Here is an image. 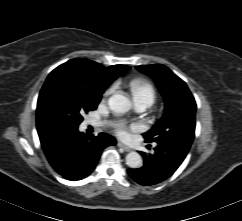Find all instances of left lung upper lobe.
Returning a JSON list of instances; mask_svg holds the SVG:
<instances>
[{"label":"left lung upper lobe","mask_w":242,"mask_h":221,"mask_svg":"<svg viewBox=\"0 0 242 221\" xmlns=\"http://www.w3.org/2000/svg\"><path fill=\"white\" fill-rule=\"evenodd\" d=\"M152 77L165 101V112L143 136L146 142L175 143L190 149L195 136L196 103L186 83L162 64L137 66Z\"/></svg>","instance_id":"5c2ea615"}]
</instances>
